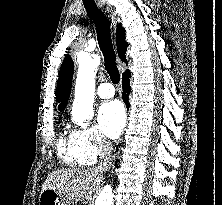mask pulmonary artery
I'll use <instances>...</instances> for the list:
<instances>
[{
    "label": "pulmonary artery",
    "mask_w": 222,
    "mask_h": 205,
    "mask_svg": "<svg viewBox=\"0 0 222 205\" xmlns=\"http://www.w3.org/2000/svg\"><path fill=\"white\" fill-rule=\"evenodd\" d=\"M97 94L101 98H111L115 94V89L111 83H102L97 88Z\"/></svg>",
    "instance_id": "pulmonary-artery-1"
}]
</instances>
